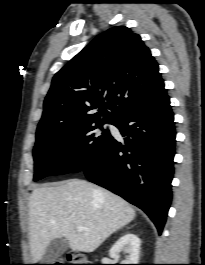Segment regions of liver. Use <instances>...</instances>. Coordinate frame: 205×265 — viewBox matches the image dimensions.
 Returning a JSON list of instances; mask_svg holds the SVG:
<instances>
[{
    "instance_id": "6515ba94",
    "label": "liver",
    "mask_w": 205,
    "mask_h": 265,
    "mask_svg": "<svg viewBox=\"0 0 205 265\" xmlns=\"http://www.w3.org/2000/svg\"><path fill=\"white\" fill-rule=\"evenodd\" d=\"M29 241L33 262L48 244L65 238L72 251L93 252L113 232L130 223L135 210L121 197L85 180L44 185L29 197ZM77 226L88 231H77Z\"/></svg>"
}]
</instances>
